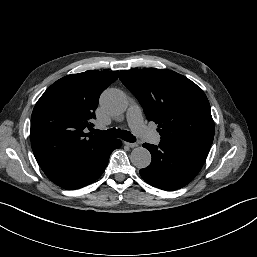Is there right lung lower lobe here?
<instances>
[{"mask_svg":"<svg viewBox=\"0 0 257 257\" xmlns=\"http://www.w3.org/2000/svg\"><path fill=\"white\" fill-rule=\"evenodd\" d=\"M118 139H109L100 147L66 164L45 171L56 185L65 189H78L91 184L104 172L111 152L121 146Z\"/></svg>","mask_w":257,"mask_h":257,"instance_id":"right-lung-lower-lobe-1","label":"right lung lower lobe"}]
</instances>
